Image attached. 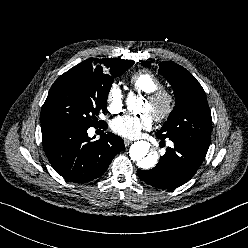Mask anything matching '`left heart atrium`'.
Here are the masks:
<instances>
[{"label":"left heart atrium","mask_w":248,"mask_h":248,"mask_svg":"<svg viewBox=\"0 0 248 248\" xmlns=\"http://www.w3.org/2000/svg\"><path fill=\"white\" fill-rule=\"evenodd\" d=\"M152 116L144 113L139 116L124 115L116 118L111 125L113 132L129 139L139 137L143 130L150 129L152 126Z\"/></svg>","instance_id":"1"}]
</instances>
